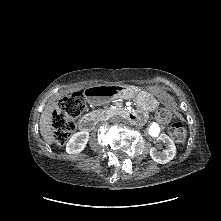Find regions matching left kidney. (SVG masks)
Listing matches in <instances>:
<instances>
[{"label":"left kidney","mask_w":221,"mask_h":221,"mask_svg":"<svg viewBox=\"0 0 221 221\" xmlns=\"http://www.w3.org/2000/svg\"><path fill=\"white\" fill-rule=\"evenodd\" d=\"M161 140L166 145V149L163 152H159L155 147H152L150 148V156L155 162L165 164L175 157L176 146L173 140L166 134L162 135Z\"/></svg>","instance_id":"5707ae66"}]
</instances>
